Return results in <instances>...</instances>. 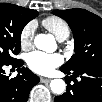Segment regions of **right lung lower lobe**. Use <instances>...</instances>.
Wrapping results in <instances>:
<instances>
[{
    "instance_id": "98d812e1",
    "label": "right lung lower lobe",
    "mask_w": 102,
    "mask_h": 102,
    "mask_svg": "<svg viewBox=\"0 0 102 102\" xmlns=\"http://www.w3.org/2000/svg\"><path fill=\"white\" fill-rule=\"evenodd\" d=\"M4 65L17 68L18 75L10 79L2 69ZM22 65L23 61L20 59L11 64H0V100L2 102H26L32 87L40 81L37 75Z\"/></svg>"
}]
</instances>
